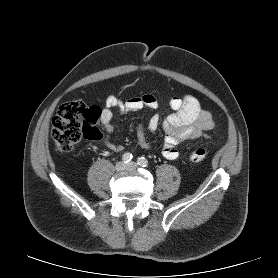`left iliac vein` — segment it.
Here are the masks:
<instances>
[{
    "mask_svg": "<svg viewBox=\"0 0 278 278\" xmlns=\"http://www.w3.org/2000/svg\"><path fill=\"white\" fill-rule=\"evenodd\" d=\"M137 167H138V165H137L136 163H134V162H131V163H129V164L127 165V169L130 170V171L136 170Z\"/></svg>",
    "mask_w": 278,
    "mask_h": 278,
    "instance_id": "1",
    "label": "left iliac vein"
}]
</instances>
